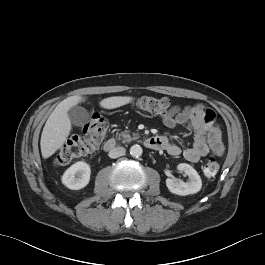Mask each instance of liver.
<instances>
[{
  "mask_svg": "<svg viewBox=\"0 0 265 265\" xmlns=\"http://www.w3.org/2000/svg\"><path fill=\"white\" fill-rule=\"evenodd\" d=\"M133 97L113 96L100 101L105 109H114L130 103ZM85 101L79 95L71 96L61 101L48 117L41 135V153L44 159L52 156L65 143L71 131V121L68 111L78 103Z\"/></svg>",
  "mask_w": 265,
  "mask_h": 265,
  "instance_id": "obj_1",
  "label": "liver"
}]
</instances>
